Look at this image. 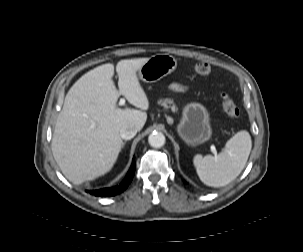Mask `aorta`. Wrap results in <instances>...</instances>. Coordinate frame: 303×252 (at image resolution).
<instances>
[{"label": "aorta", "instance_id": "aorta-1", "mask_svg": "<svg viewBox=\"0 0 303 252\" xmlns=\"http://www.w3.org/2000/svg\"><path fill=\"white\" fill-rule=\"evenodd\" d=\"M149 144L154 148H160L165 144V136L161 132L154 131L148 137Z\"/></svg>", "mask_w": 303, "mask_h": 252}]
</instances>
